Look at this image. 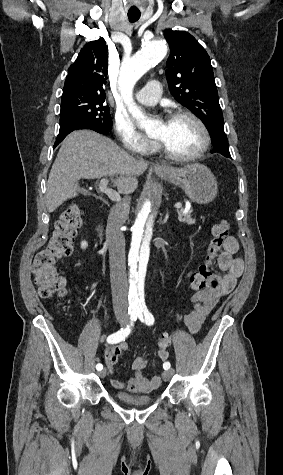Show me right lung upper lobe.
I'll list each match as a JSON object with an SVG mask.
<instances>
[{
    "mask_svg": "<svg viewBox=\"0 0 283 475\" xmlns=\"http://www.w3.org/2000/svg\"><path fill=\"white\" fill-rule=\"evenodd\" d=\"M108 55L105 41L100 38L87 43L76 61L69 67L63 95H105Z\"/></svg>",
    "mask_w": 283,
    "mask_h": 475,
    "instance_id": "cb5924a9",
    "label": "right lung upper lobe"
}]
</instances>
